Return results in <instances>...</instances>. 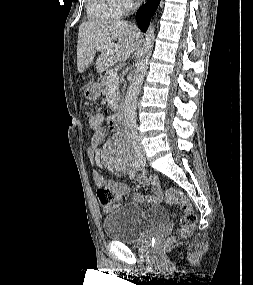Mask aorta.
Listing matches in <instances>:
<instances>
[{
	"label": "aorta",
	"mask_w": 253,
	"mask_h": 285,
	"mask_svg": "<svg viewBox=\"0 0 253 285\" xmlns=\"http://www.w3.org/2000/svg\"><path fill=\"white\" fill-rule=\"evenodd\" d=\"M155 38V27L151 23L145 33L143 46L140 51V56L136 64L135 74L128 87L125 105H124V118L126 127L129 130L136 128V109L137 99L141 90L144 77L147 72L149 58L152 53Z\"/></svg>",
	"instance_id": "obj_1"
}]
</instances>
